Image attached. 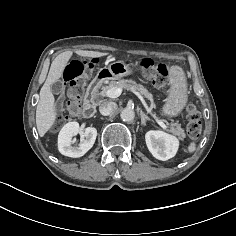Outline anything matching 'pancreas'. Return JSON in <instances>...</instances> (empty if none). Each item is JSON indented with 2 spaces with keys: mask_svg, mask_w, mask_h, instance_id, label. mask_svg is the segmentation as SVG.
<instances>
[{
  "mask_svg": "<svg viewBox=\"0 0 236 236\" xmlns=\"http://www.w3.org/2000/svg\"><path fill=\"white\" fill-rule=\"evenodd\" d=\"M111 88H120V89H127V90H134L142 95H144L147 99H149L151 102H153V96L148 92L146 88H144L142 85L137 84L133 80H127L122 79L116 82H111L108 86H102L101 87V95H105V92L108 89ZM169 132L173 133L174 135L178 136L180 139H183L186 137V134L184 133V130L181 128L180 124L172 123Z\"/></svg>",
  "mask_w": 236,
  "mask_h": 236,
  "instance_id": "cf45deb5",
  "label": "pancreas"
}]
</instances>
